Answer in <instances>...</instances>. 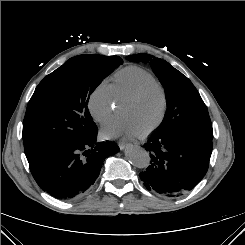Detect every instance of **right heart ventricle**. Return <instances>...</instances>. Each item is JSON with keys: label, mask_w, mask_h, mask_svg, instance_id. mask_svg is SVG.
I'll return each mask as SVG.
<instances>
[{"label": "right heart ventricle", "mask_w": 245, "mask_h": 245, "mask_svg": "<svg viewBox=\"0 0 245 245\" xmlns=\"http://www.w3.org/2000/svg\"><path fill=\"white\" fill-rule=\"evenodd\" d=\"M150 80H154L152 74L139 66L130 65L117 70L111 83L115 99H124L138 86Z\"/></svg>", "instance_id": "right-heart-ventricle-1"}]
</instances>
